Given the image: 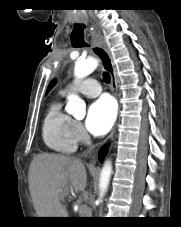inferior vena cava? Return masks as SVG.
Here are the masks:
<instances>
[{"mask_svg": "<svg viewBox=\"0 0 181 227\" xmlns=\"http://www.w3.org/2000/svg\"><path fill=\"white\" fill-rule=\"evenodd\" d=\"M91 148H89L86 152L83 153V156H87L90 153Z\"/></svg>", "mask_w": 181, "mask_h": 227, "instance_id": "602c4592", "label": "inferior vena cava"}]
</instances>
